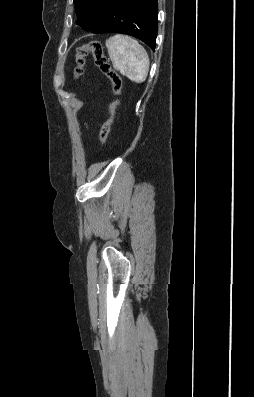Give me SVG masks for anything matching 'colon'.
I'll return each mask as SVG.
<instances>
[{"mask_svg": "<svg viewBox=\"0 0 254 397\" xmlns=\"http://www.w3.org/2000/svg\"><path fill=\"white\" fill-rule=\"evenodd\" d=\"M92 54L96 66L99 70L111 81L112 90L116 99L110 104L109 116L102 125L99 132V144L104 146L108 140L112 125L116 117V111L120 104V96L122 93V79L120 75L111 67L105 53L103 46L99 41H89L76 50V66L74 68V77L79 78L84 74L86 57Z\"/></svg>", "mask_w": 254, "mask_h": 397, "instance_id": "5ec220e1", "label": "colon"}]
</instances>
